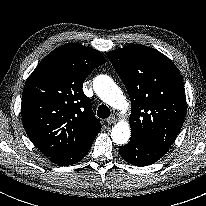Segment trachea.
<instances>
[{
    "label": "trachea",
    "mask_w": 206,
    "mask_h": 206,
    "mask_svg": "<svg viewBox=\"0 0 206 206\" xmlns=\"http://www.w3.org/2000/svg\"><path fill=\"white\" fill-rule=\"evenodd\" d=\"M97 116L102 119H106L110 116V109L106 105H100L97 110Z\"/></svg>",
    "instance_id": "1"
}]
</instances>
